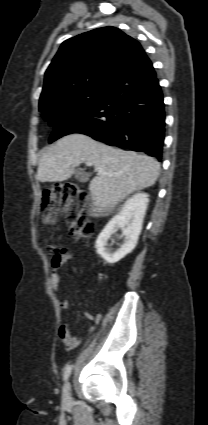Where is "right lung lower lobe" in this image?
<instances>
[{
    "mask_svg": "<svg viewBox=\"0 0 208 425\" xmlns=\"http://www.w3.org/2000/svg\"><path fill=\"white\" fill-rule=\"evenodd\" d=\"M164 127L163 94L146 55L116 77L97 103L60 119L49 142L80 133L161 160Z\"/></svg>",
    "mask_w": 208,
    "mask_h": 425,
    "instance_id": "obj_1",
    "label": "right lung lower lobe"
}]
</instances>
